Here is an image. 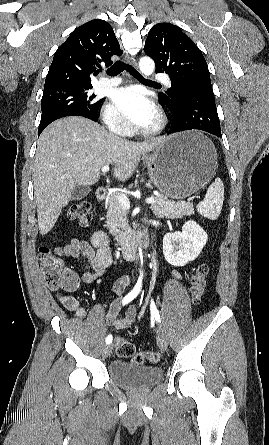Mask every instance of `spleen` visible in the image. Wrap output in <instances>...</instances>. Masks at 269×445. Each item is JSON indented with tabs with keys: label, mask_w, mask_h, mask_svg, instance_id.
Returning a JSON list of instances; mask_svg holds the SVG:
<instances>
[{
	"label": "spleen",
	"mask_w": 269,
	"mask_h": 445,
	"mask_svg": "<svg viewBox=\"0 0 269 445\" xmlns=\"http://www.w3.org/2000/svg\"><path fill=\"white\" fill-rule=\"evenodd\" d=\"M224 201V185L220 178L209 186L203 201L197 205V211L210 220H216L222 210Z\"/></svg>",
	"instance_id": "obj_1"
}]
</instances>
